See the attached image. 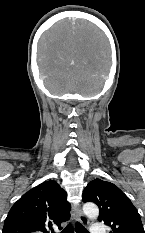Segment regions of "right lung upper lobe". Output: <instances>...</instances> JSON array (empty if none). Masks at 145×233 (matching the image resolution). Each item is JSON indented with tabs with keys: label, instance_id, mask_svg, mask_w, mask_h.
<instances>
[{
	"label": "right lung upper lobe",
	"instance_id": "cb5924a9",
	"mask_svg": "<svg viewBox=\"0 0 145 233\" xmlns=\"http://www.w3.org/2000/svg\"><path fill=\"white\" fill-rule=\"evenodd\" d=\"M60 185L49 180L25 193L10 209L2 233H54L70 217V203Z\"/></svg>",
	"mask_w": 145,
	"mask_h": 233
}]
</instances>
